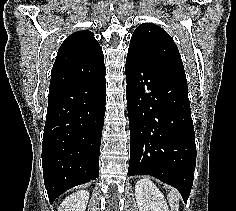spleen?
Here are the masks:
<instances>
[{
    "label": "spleen",
    "mask_w": 236,
    "mask_h": 211,
    "mask_svg": "<svg viewBox=\"0 0 236 211\" xmlns=\"http://www.w3.org/2000/svg\"><path fill=\"white\" fill-rule=\"evenodd\" d=\"M167 198L171 207V211H179V200H180L179 192L175 189H172L171 191H169Z\"/></svg>",
    "instance_id": "1"
}]
</instances>
